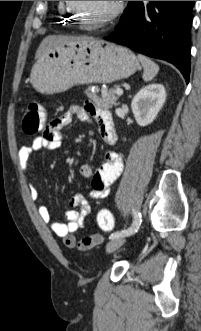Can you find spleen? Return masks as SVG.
Listing matches in <instances>:
<instances>
[{
    "label": "spleen",
    "mask_w": 201,
    "mask_h": 331,
    "mask_svg": "<svg viewBox=\"0 0 201 331\" xmlns=\"http://www.w3.org/2000/svg\"><path fill=\"white\" fill-rule=\"evenodd\" d=\"M138 58L144 68V72L142 76L143 80L146 82L152 80L157 75L159 71V66L155 62H153L150 58L142 54H139Z\"/></svg>",
    "instance_id": "spleen-1"
}]
</instances>
